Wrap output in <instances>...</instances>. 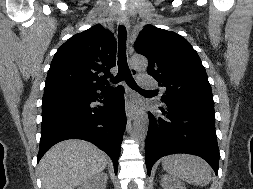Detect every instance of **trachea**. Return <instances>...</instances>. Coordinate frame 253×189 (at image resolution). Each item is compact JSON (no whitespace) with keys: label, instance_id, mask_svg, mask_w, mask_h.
<instances>
[{"label":"trachea","instance_id":"1","mask_svg":"<svg viewBox=\"0 0 253 189\" xmlns=\"http://www.w3.org/2000/svg\"><path fill=\"white\" fill-rule=\"evenodd\" d=\"M126 38L127 32L125 26H119L118 30V74L116 77L112 78V83H119L123 79H125L126 84L136 91H146L142 90L137 83L135 82L134 78L131 75L130 69L127 64V57H126Z\"/></svg>","mask_w":253,"mask_h":189}]
</instances>
